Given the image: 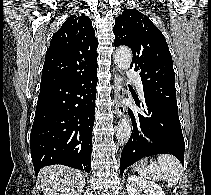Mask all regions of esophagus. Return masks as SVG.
<instances>
[{
    "mask_svg": "<svg viewBox=\"0 0 211 195\" xmlns=\"http://www.w3.org/2000/svg\"><path fill=\"white\" fill-rule=\"evenodd\" d=\"M114 108L117 114V117L120 118L124 115L125 106L122 103V98L124 96L123 81L118 72L114 74Z\"/></svg>",
    "mask_w": 211,
    "mask_h": 195,
    "instance_id": "1",
    "label": "esophagus"
}]
</instances>
